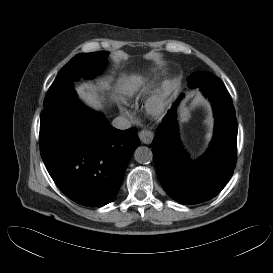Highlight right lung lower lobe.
I'll list each match as a JSON object with an SVG mask.
<instances>
[{"instance_id": "obj_1", "label": "right lung lower lobe", "mask_w": 273, "mask_h": 273, "mask_svg": "<svg viewBox=\"0 0 273 273\" xmlns=\"http://www.w3.org/2000/svg\"><path fill=\"white\" fill-rule=\"evenodd\" d=\"M137 130H118L77 100L75 90L44 106L40 152L50 176L74 202L101 207L118 192L138 147Z\"/></svg>"}]
</instances>
